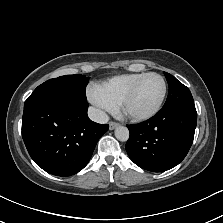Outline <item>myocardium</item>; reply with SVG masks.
<instances>
[{
	"label": "myocardium",
	"instance_id": "obj_1",
	"mask_svg": "<svg viewBox=\"0 0 223 223\" xmlns=\"http://www.w3.org/2000/svg\"><path fill=\"white\" fill-rule=\"evenodd\" d=\"M149 76H157L161 82H162V93L161 96L156 104V106L145 114H133V113H127L122 111V108L128 104V102L131 100L133 95L135 94L136 90L138 89L139 85L142 83V81L149 77ZM167 86L164 78L155 72H149L144 74L141 78H139L135 84L127 91V93L122 97V99L118 103V111L116 112V117L119 119H127L132 121H147L151 118H153L161 109V106L163 104V101L166 96Z\"/></svg>",
	"mask_w": 223,
	"mask_h": 223
}]
</instances>
